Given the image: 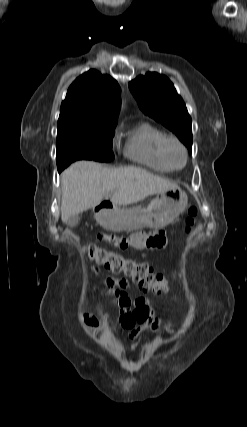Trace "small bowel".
Listing matches in <instances>:
<instances>
[{"label":"small bowel","mask_w":247,"mask_h":427,"mask_svg":"<svg viewBox=\"0 0 247 427\" xmlns=\"http://www.w3.org/2000/svg\"><path fill=\"white\" fill-rule=\"evenodd\" d=\"M107 244L116 250H125L130 243L137 248L164 249L167 239L164 232H138L133 234L129 241L118 236L116 232L105 234ZM98 238H103V232H98ZM103 243V240H100ZM94 272L97 269L94 268ZM105 285L114 297V303L119 308L117 325L130 331L129 336L135 339L146 332H156L161 327V320L156 316L147 299L139 297L131 299L127 293L129 282L125 279H107Z\"/></svg>","instance_id":"1"}]
</instances>
